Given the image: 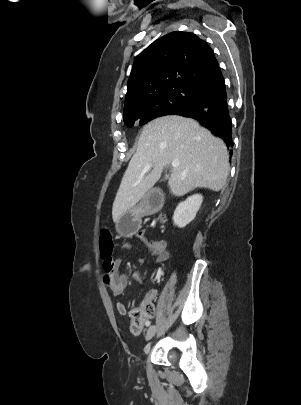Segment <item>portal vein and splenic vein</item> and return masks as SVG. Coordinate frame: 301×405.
Segmentation results:
<instances>
[{
    "label": "portal vein and splenic vein",
    "mask_w": 301,
    "mask_h": 405,
    "mask_svg": "<svg viewBox=\"0 0 301 405\" xmlns=\"http://www.w3.org/2000/svg\"><path fill=\"white\" fill-rule=\"evenodd\" d=\"M172 167L175 168L177 166H179V160H173L171 163ZM152 167V165L150 163L145 165L144 171H148L150 168Z\"/></svg>",
    "instance_id": "portal-vein-and-splenic-vein-1"
}]
</instances>
